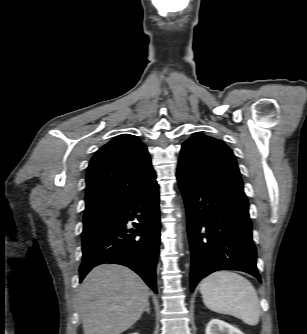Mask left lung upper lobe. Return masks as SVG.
Listing matches in <instances>:
<instances>
[{
    "instance_id": "obj_1",
    "label": "left lung upper lobe",
    "mask_w": 307,
    "mask_h": 334,
    "mask_svg": "<svg viewBox=\"0 0 307 334\" xmlns=\"http://www.w3.org/2000/svg\"><path fill=\"white\" fill-rule=\"evenodd\" d=\"M178 173L243 190V181L231 149L221 140L203 133L183 143Z\"/></svg>"
}]
</instances>
